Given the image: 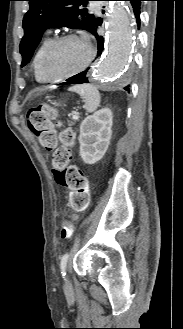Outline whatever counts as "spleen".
Returning <instances> with one entry per match:
<instances>
[{
  "label": "spleen",
  "instance_id": "3e777b00",
  "mask_svg": "<svg viewBox=\"0 0 183 329\" xmlns=\"http://www.w3.org/2000/svg\"><path fill=\"white\" fill-rule=\"evenodd\" d=\"M69 91L78 93L85 102V108L88 112H94L100 105L101 96L93 85L83 84L75 85L69 88Z\"/></svg>",
  "mask_w": 183,
  "mask_h": 329
}]
</instances>
